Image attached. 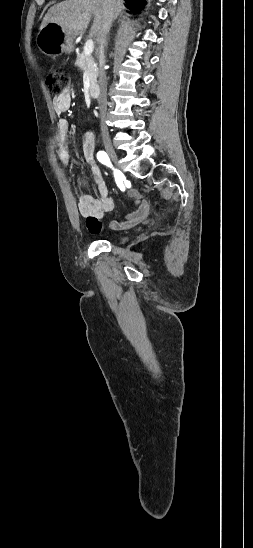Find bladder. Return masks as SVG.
Segmentation results:
<instances>
[{
    "label": "bladder",
    "mask_w": 253,
    "mask_h": 548,
    "mask_svg": "<svg viewBox=\"0 0 253 548\" xmlns=\"http://www.w3.org/2000/svg\"><path fill=\"white\" fill-rule=\"evenodd\" d=\"M115 238L120 242H125L127 240V236L125 235H118Z\"/></svg>",
    "instance_id": "1"
}]
</instances>
